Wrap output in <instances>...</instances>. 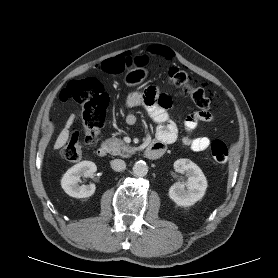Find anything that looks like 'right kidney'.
Returning a JSON list of instances; mask_svg holds the SVG:
<instances>
[{"label": "right kidney", "instance_id": "obj_1", "mask_svg": "<svg viewBox=\"0 0 278 278\" xmlns=\"http://www.w3.org/2000/svg\"><path fill=\"white\" fill-rule=\"evenodd\" d=\"M97 167L92 161H82L66 171L61 179V186L71 197L87 198L94 194L95 184L81 185V176L93 178Z\"/></svg>", "mask_w": 278, "mask_h": 278}]
</instances>
